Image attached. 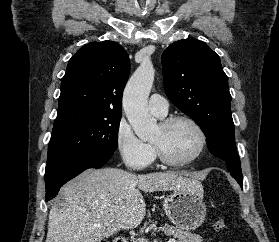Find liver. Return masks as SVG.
Masks as SVG:
<instances>
[{"instance_id": "6515ba94", "label": "liver", "mask_w": 279, "mask_h": 242, "mask_svg": "<svg viewBox=\"0 0 279 242\" xmlns=\"http://www.w3.org/2000/svg\"><path fill=\"white\" fill-rule=\"evenodd\" d=\"M199 187L196 180L174 172L84 171L62 188L63 203L50 209L46 242H100L120 230L138 227L146 213L141 191Z\"/></svg>"}]
</instances>
